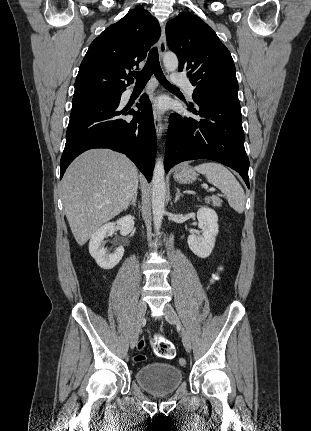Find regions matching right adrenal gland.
Listing matches in <instances>:
<instances>
[{
	"label": "right adrenal gland",
	"mask_w": 311,
	"mask_h": 431,
	"mask_svg": "<svg viewBox=\"0 0 311 431\" xmlns=\"http://www.w3.org/2000/svg\"><path fill=\"white\" fill-rule=\"evenodd\" d=\"M137 196H138V194H135V196H133V198H132V200H131V202H130L129 206H127V208H125V210H128V208H130V206H135V208H136V200H137Z\"/></svg>",
	"instance_id": "2a0ac1e0"
}]
</instances>
